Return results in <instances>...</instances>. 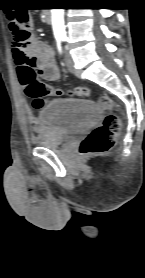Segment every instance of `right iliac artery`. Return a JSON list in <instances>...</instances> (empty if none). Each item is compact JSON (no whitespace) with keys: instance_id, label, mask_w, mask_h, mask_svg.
<instances>
[{"instance_id":"obj_1","label":"right iliac artery","mask_w":145,"mask_h":278,"mask_svg":"<svg viewBox=\"0 0 145 278\" xmlns=\"http://www.w3.org/2000/svg\"><path fill=\"white\" fill-rule=\"evenodd\" d=\"M57 47H58V50L59 52H61V45H60V38H57Z\"/></svg>"}]
</instances>
